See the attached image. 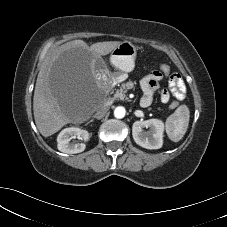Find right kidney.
<instances>
[{
  "label": "right kidney",
  "instance_id": "1",
  "mask_svg": "<svg viewBox=\"0 0 227 227\" xmlns=\"http://www.w3.org/2000/svg\"><path fill=\"white\" fill-rule=\"evenodd\" d=\"M74 138L87 141L89 139V133L77 127L63 129L57 137L58 150L67 154H75L84 151L85 144L71 142Z\"/></svg>",
  "mask_w": 227,
  "mask_h": 227
}]
</instances>
